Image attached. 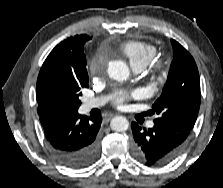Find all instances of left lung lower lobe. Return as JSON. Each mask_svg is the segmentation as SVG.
I'll use <instances>...</instances> for the list:
<instances>
[{"label":"left lung lower lobe","instance_id":"obj_1","mask_svg":"<svg viewBox=\"0 0 223 188\" xmlns=\"http://www.w3.org/2000/svg\"><path fill=\"white\" fill-rule=\"evenodd\" d=\"M134 142V157L146 166H161L175 159L183 145L162 126L141 128L136 122L131 124Z\"/></svg>","mask_w":223,"mask_h":188}]
</instances>
